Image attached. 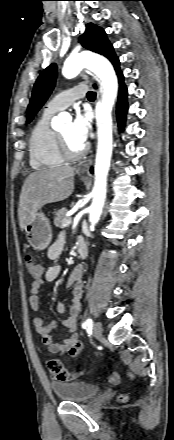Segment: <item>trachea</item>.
Here are the masks:
<instances>
[{"mask_svg": "<svg viewBox=\"0 0 174 440\" xmlns=\"http://www.w3.org/2000/svg\"><path fill=\"white\" fill-rule=\"evenodd\" d=\"M95 97H96V93L95 92H92V91L88 92V94H87V98L88 99L94 100Z\"/></svg>", "mask_w": 174, "mask_h": 440, "instance_id": "obj_1", "label": "trachea"}]
</instances>
